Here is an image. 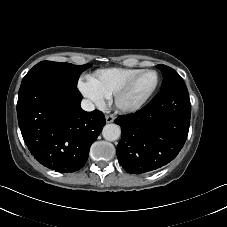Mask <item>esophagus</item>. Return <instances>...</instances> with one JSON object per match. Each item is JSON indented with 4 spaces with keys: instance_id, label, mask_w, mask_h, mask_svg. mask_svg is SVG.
Returning a JSON list of instances; mask_svg holds the SVG:
<instances>
[{
    "instance_id": "34e87169",
    "label": "esophagus",
    "mask_w": 227,
    "mask_h": 227,
    "mask_svg": "<svg viewBox=\"0 0 227 227\" xmlns=\"http://www.w3.org/2000/svg\"><path fill=\"white\" fill-rule=\"evenodd\" d=\"M106 123H112L114 121V117L112 115L105 116Z\"/></svg>"
}]
</instances>
